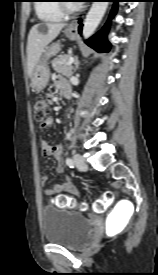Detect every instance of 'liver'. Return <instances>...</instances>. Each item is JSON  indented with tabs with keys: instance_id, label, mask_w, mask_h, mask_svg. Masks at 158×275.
<instances>
[{
	"instance_id": "obj_1",
	"label": "liver",
	"mask_w": 158,
	"mask_h": 275,
	"mask_svg": "<svg viewBox=\"0 0 158 275\" xmlns=\"http://www.w3.org/2000/svg\"><path fill=\"white\" fill-rule=\"evenodd\" d=\"M65 25L48 22L36 24L31 28L27 42V71L30 77L46 46L58 36Z\"/></svg>"
}]
</instances>
